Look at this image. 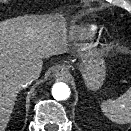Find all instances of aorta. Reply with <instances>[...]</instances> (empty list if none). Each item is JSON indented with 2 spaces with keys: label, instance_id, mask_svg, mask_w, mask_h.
<instances>
[{
  "label": "aorta",
  "instance_id": "1",
  "mask_svg": "<svg viewBox=\"0 0 131 131\" xmlns=\"http://www.w3.org/2000/svg\"><path fill=\"white\" fill-rule=\"evenodd\" d=\"M70 88L63 82H57L52 87V96L57 101H63L70 97Z\"/></svg>",
  "mask_w": 131,
  "mask_h": 131
}]
</instances>
